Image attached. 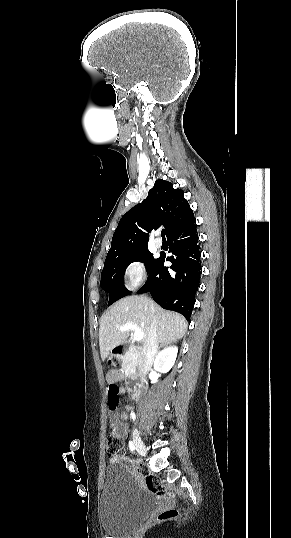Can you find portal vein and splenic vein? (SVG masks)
<instances>
[{
    "instance_id": "portal-vein-and-splenic-vein-1",
    "label": "portal vein and splenic vein",
    "mask_w": 291,
    "mask_h": 538,
    "mask_svg": "<svg viewBox=\"0 0 291 538\" xmlns=\"http://www.w3.org/2000/svg\"><path fill=\"white\" fill-rule=\"evenodd\" d=\"M120 331H126V330H133L134 336L133 339L135 341H141L143 338V331L134 323H125L119 327Z\"/></svg>"
}]
</instances>
